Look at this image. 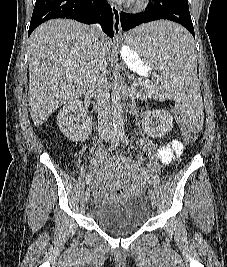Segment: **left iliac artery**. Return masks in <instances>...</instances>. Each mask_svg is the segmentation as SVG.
Instances as JSON below:
<instances>
[{
    "label": "left iliac artery",
    "mask_w": 227,
    "mask_h": 267,
    "mask_svg": "<svg viewBox=\"0 0 227 267\" xmlns=\"http://www.w3.org/2000/svg\"><path fill=\"white\" fill-rule=\"evenodd\" d=\"M118 134H119V137L121 138V140H122L126 145H128V138L126 137L125 132L121 130V131H118Z\"/></svg>",
    "instance_id": "obj_1"
}]
</instances>
